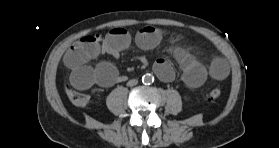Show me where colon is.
<instances>
[{
	"mask_svg": "<svg viewBox=\"0 0 279 148\" xmlns=\"http://www.w3.org/2000/svg\"><path fill=\"white\" fill-rule=\"evenodd\" d=\"M68 96L71 102L78 107H84L90 102V97L86 94L74 91L71 88H67ZM221 96V90L219 88H212L206 91L205 98L208 101H214Z\"/></svg>",
	"mask_w": 279,
	"mask_h": 148,
	"instance_id": "obj_1",
	"label": "colon"
}]
</instances>
